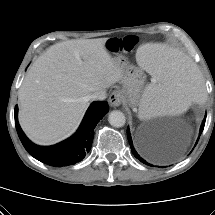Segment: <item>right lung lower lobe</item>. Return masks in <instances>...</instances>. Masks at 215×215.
<instances>
[{
    "mask_svg": "<svg viewBox=\"0 0 215 215\" xmlns=\"http://www.w3.org/2000/svg\"><path fill=\"white\" fill-rule=\"evenodd\" d=\"M17 111L18 107L15 106L16 130L27 152L47 165L64 167L81 161L90 151L94 136L93 130L109 111V106L106 101L93 102L77 132L69 139L49 147L38 146L28 140L18 123Z\"/></svg>",
    "mask_w": 215,
    "mask_h": 215,
    "instance_id": "1",
    "label": "right lung lower lobe"
}]
</instances>
